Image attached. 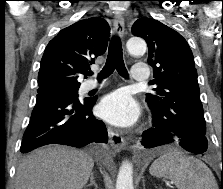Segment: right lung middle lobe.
<instances>
[{
    "instance_id": "1",
    "label": "right lung middle lobe",
    "mask_w": 223,
    "mask_h": 189,
    "mask_svg": "<svg viewBox=\"0 0 223 189\" xmlns=\"http://www.w3.org/2000/svg\"><path fill=\"white\" fill-rule=\"evenodd\" d=\"M78 88L75 89H56L43 94H77Z\"/></svg>"
}]
</instances>
